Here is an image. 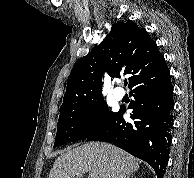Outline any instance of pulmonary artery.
Wrapping results in <instances>:
<instances>
[{
	"instance_id": "pulmonary-artery-1",
	"label": "pulmonary artery",
	"mask_w": 194,
	"mask_h": 178,
	"mask_svg": "<svg viewBox=\"0 0 194 178\" xmlns=\"http://www.w3.org/2000/svg\"><path fill=\"white\" fill-rule=\"evenodd\" d=\"M112 95H113V97H114L116 100L120 101V100L123 99V97H124V95H125V92H124V90L121 89V88H116V89L113 91Z\"/></svg>"
}]
</instances>
